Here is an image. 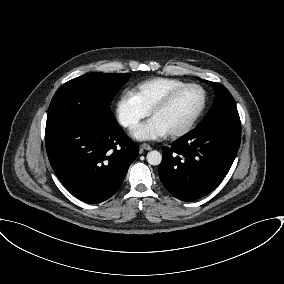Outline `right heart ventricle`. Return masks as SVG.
I'll return each instance as SVG.
<instances>
[{
  "label": "right heart ventricle",
  "instance_id": "1",
  "mask_svg": "<svg viewBox=\"0 0 284 284\" xmlns=\"http://www.w3.org/2000/svg\"><path fill=\"white\" fill-rule=\"evenodd\" d=\"M185 84V81L177 78L155 77L139 83L132 93L150 111L168 93Z\"/></svg>",
  "mask_w": 284,
  "mask_h": 284
}]
</instances>
